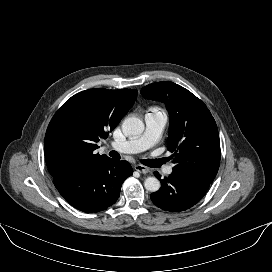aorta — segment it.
<instances>
[{
	"label": "aorta",
	"mask_w": 272,
	"mask_h": 272,
	"mask_svg": "<svg viewBox=\"0 0 272 272\" xmlns=\"http://www.w3.org/2000/svg\"><path fill=\"white\" fill-rule=\"evenodd\" d=\"M123 129L132 136L140 135L144 131V123L136 117H127L122 124ZM144 187L150 192L160 189V181L156 177H148L144 181Z\"/></svg>",
	"instance_id": "obj_1"
}]
</instances>
